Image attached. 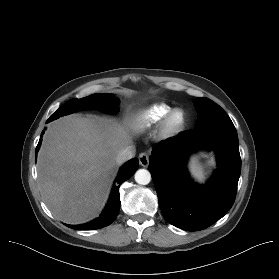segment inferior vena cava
<instances>
[{
  "label": "inferior vena cava",
  "instance_id": "602c4592",
  "mask_svg": "<svg viewBox=\"0 0 279 279\" xmlns=\"http://www.w3.org/2000/svg\"><path fill=\"white\" fill-rule=\"evenodd\" d=\"M135 156V147L134 146H127L126 148L119 151L116 156V163L122 164Z\"/></svg>",
  "mask_w": 279,
  "mask_h": 279
}]
</instances>
